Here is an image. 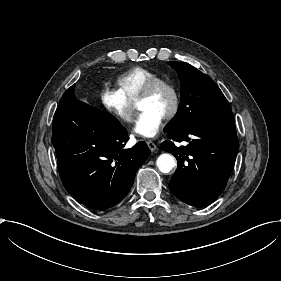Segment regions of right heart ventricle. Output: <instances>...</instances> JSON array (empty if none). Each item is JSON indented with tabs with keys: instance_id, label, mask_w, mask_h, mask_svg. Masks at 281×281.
<instances>
[{
	"instance_id": "e07e8e85",
	"label": "right heart ventricle",
	"mask_w": 281,
	"mask_h": 281,
	"mask_svg": "<svg viewBox=\"0 0 281 281\" xmlns=\"http://www.w3.org/2000/svg\"><path fill=\"white\" fill-rule=\"evenodd\" d=\"M159 74L145 67L137 66L121 74L117 80V90L131 104H135L145 86Z\"/></svg>"
}]
</instances>
